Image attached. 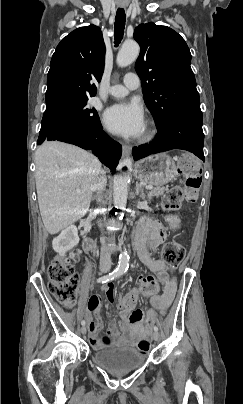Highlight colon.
Instances as JSON below:
<instances>
[{"label": "colon", "mask_w": 243, "mask_h": 404, "mask_svg": "<svg viewBox=\"0 0 243 404\" xmlns=\"http://www.w3.org/2000/svg\"><path fill=\"white\" fill-rule=\"evenodd\" d=\"M178 171L184 176V181L170 188L163 197V207L167 211H177L184 200L194 202L197 199L201 185L200 170L191 155H182L178 163ZM184 247L176 242L167 243L162 252L163 260L171 266H178L185 257ZM79 260L78 252H70L66 256L55 257L48 266V289L50 293L65 307L70 308L75 304L78 274L75 264ZM158 290V283L154 277L143 279L142 285L127 293L120 301L119 308L125 317H129L136 308L138 299L142 295H152ZM101 347L111 346L109 339L99 342ZM138 347L143 351L150 349V341L146 337L138 342Z\"/></svg>", "instance_id": "1"}]
</instances>
